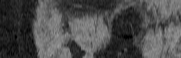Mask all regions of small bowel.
Returning <instances> with one entry per match:
<instances>
[{
	"label": "small bowel",
	"mask_w": 181,
	"mask_h": 58,
	"mask_svg": "<svg viewBox=\"0 0 181 58\" xmlns=\"http://www.w3.org/2000/svg\"><path fill=\"white\" fill-rule=\"evenodd\" d=\"M85 50H86L87 56H88V57H91L92 54H93V52L95 51V46L86 47ZM126 52H127V49H125V50L117 53V54H116V57H121V56H122L124 53H126Z\"/></svg>",
	"instance_id": "c3829d8e"
}]
</instances>
